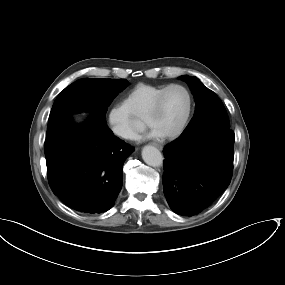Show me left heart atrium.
I'll use <instances>...</instances> for the list:
<instances>
[{
	"instance_id": "obj_1",
	"label": "left heart atrium",
	"mask_w": 285,
	"mask_h": 285,
	"mask_svg": "<svg viewBox=\"0 0 285 285\" xmlns=\"http://www.w3.org/2000/svg\"><path fill=\"white\" fill-rule=\"evenodd\" d=\"M154 135H158L155 131L153 132Z\"/></svg>"
}]
</instances>
